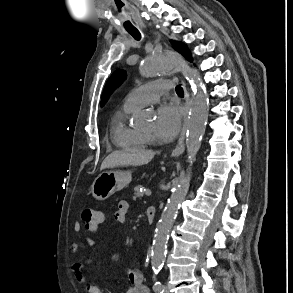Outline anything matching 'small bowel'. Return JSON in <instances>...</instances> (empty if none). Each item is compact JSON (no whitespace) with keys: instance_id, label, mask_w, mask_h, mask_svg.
Returning <instances> with one entry per match:
<instances>
[{"instance_id":"1","label":"small bowel","mask_w":293,"mask_h":293,"mask_svg":"<svg viewBox=\"0 0 293 293\" xmlns=\"http://www.w3.org/2000/svg\"><path fill=\"white\" fill-rule=\"evenodd\" d=\"M130 209V205L126 200H121L118 203L117 210L114 212V220L118 223H125L127 213ZM104 222V216L101 214V223ZM99 226L96 229L90 230L84 227V229L89 233H96L98 231ZM74 230L76 232H79L81 230L80 223H76L74 225ZM86 244L89 247L94 246V242L91 239L86 240ZM79 244L77 242H74L71 246L72 252L76 253L79 250ZM90 260H86L85 263L76 262L72 266V273L75 277V279L80 283H87V279L84 274V267L86 264H89ZM127 278L129 281V286L126 289L125 293H149L148 287L144 284V274L139 269H130L127 273ZM88 291L89 293H103L100 288L93 284H88Z\"/></svg>"}]
</instances>
